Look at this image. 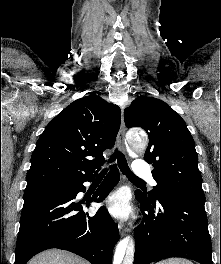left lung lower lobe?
Returning <instances> with one entry per match:
<instances>
[{"instance_id": "left-lung-lower-lobe-1", "label": "left lung lower lobe", "mask_w": 221, "mask_h": 264, "mask_svg": "<svg viewBox=\"0 0 221 264\" xmlns=\"http://www.w3.org/2000/svg\"><path fill=\"white\" fill-rule=\"evenodd\" d=\"M135 196L144 222L135 229L134 264L169 257L213 264L205 201L173 195L150 199L138 192Z\"/></svg>"}]
</instances>
